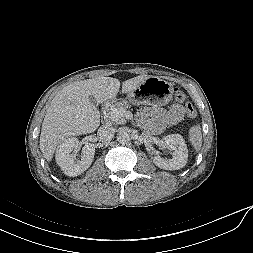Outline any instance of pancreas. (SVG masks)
I'll return each mask as SVG.
<instances>
[{"label":"pancreas","instance_id":"obj_1","mask_svg":"<svg viewBox=\"0 0 253 253\" xmlns=\"http://www.w3.org/2000/svg\"><path fill=\"white\" fill-rule=\"evenodd\" d=\"M131 107V105L126 101V100H123V101H119V102H116L115 104H112L111 106H109L105 112H106V116L107 118H109V113L112 111V110H128L129 108ZM110 120V118H109ZM112 121V120H111ZM109 121V122H111Z\"/></svg>","mask_w":253,"mask_h":253}]
</instances>
